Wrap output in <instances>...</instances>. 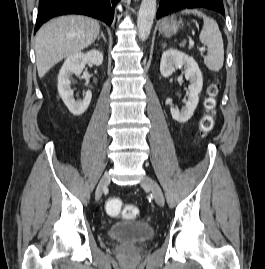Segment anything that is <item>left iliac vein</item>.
I'll return each instance as SVG.
<instances>
[{
    "instance_id": "4c4485c4",
    "label": "left iliac vein",
    "mask_w": 265,
    "mask_h": 269,
    "mask_svg": "<svg viewBox=\"0 0 265 269\" xmlns=\"http://www.w3.org/2000/svg\"><path fill=\"white\" fill-rule=\"evenodd\" d=\"M141 186L147 189H150L156 203L160 206L163 207L165 203L164 195L163 192L159 186V184L152 179L149 176H145L143 180L141 181Z\"/></svg>"
}]
</instances>
